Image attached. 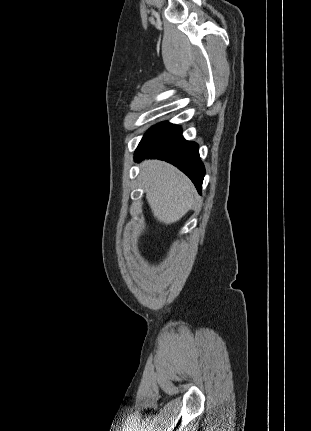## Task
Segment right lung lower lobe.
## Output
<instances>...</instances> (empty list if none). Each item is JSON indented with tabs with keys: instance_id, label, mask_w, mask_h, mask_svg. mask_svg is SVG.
Here are the masks:
<instances>
[{
	"instance_id": "1",
	"label": "right lung lower lobe",
	"mask_w": 311,
	"mask_h": 431,
	"mask_svg": "<svg viewBox=\"0 0 311 431\" xmlns=\"http://www.w3.org/2000/svg\"><path fill=\"white\" fill-rule=\"evenodd\" d=\"M144 158L165 160L178 167L201 193L205 168L199 157V146L186 141L179 126L162 122L151 127L134 153L135 161Z\"/></svg>"
}]
</instances>
